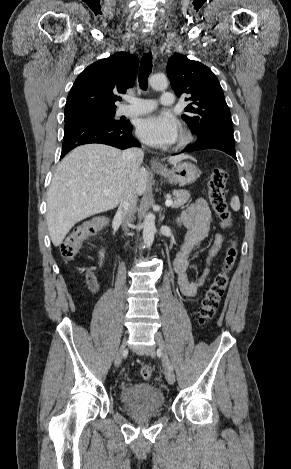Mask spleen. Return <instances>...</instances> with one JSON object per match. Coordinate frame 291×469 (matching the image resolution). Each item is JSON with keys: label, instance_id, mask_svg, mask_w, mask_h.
<instances>
[{"label": "spleen", "instance_id": "spleen-1", "mask_svg": "<svg viewBox=\"0 0 291 469\" xmlns=\"http://www.w3.org/2000/svg\"><path fill=\"white\" fill-rule=\"evenodd\" d=\"M230 205L234 211H238L240 209V201L238 196L232 197Z\"/></svg>", "mask_w": 291, "mask_h": 469}]
</instances>
